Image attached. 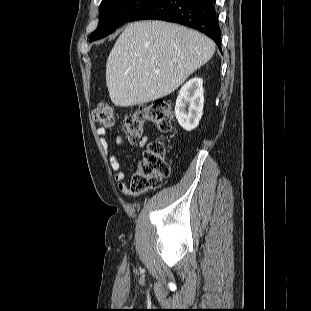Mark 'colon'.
Returning a JSON list of instances; mask_svg holds the SVG:
<instances>
[{"mask_svg": "<svg viewBox=\"0 0 311 311\" xmlns=\"http://www.w3.org/2000/svg\"><path fill=\"white\" fill-rule=\"evenodd\" d=\"M94 121L103 127H111L114 123V111L107 102H100L93 110ZM173 113L170 103L165 99H156L152 103L127 114L123 119V130L133 143L143 138L146 121H151L159 131L170 132ZM170 175V166L166 159V144L162 139L152 141L143 152L131 179V189L143 193L156 188L161 181Z\"/></svg>", "mask_w": 311, "mask_h": 311, "instance_id": "obj_1", "label": "colon"}]
</instances>
